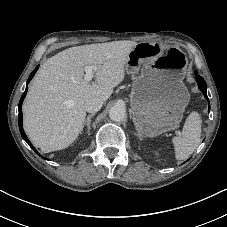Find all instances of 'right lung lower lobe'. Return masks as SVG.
<instances>
[{
  "label": "right lung lower lobe",
  "instance_id": "right-lung-lower-lobe-1",
  "mask_svg": "<svg viewBox=\"0 0 227 227\" xmlns=\"http://www.w3.org/2000/svg\"><path fill=\"white\" fill-rule=\"evenodd\" d=\"M38 67L35 68L32 73L30 74L29 78H28V81L27 82H30V80L33 78L34 74L36 73ZM27 90H28V86H26V90L25 92L22 94V97L20 99V102H19V106H18V109H19V115H18V123H19V129H20V133H21V136L22 138L29 144V146L39 155L41 156L38 151L33 147V145L31 144V142L29 141V139L27 138L24 130H23V126H22V103H23V100H24V97L27 93ZM42 157V156H41ZM44 158V157H42ZM44 159H47V158H44ZM48 160V159H47Z\"/></svg>",
  "mask_w": 227,
  "mask_h": 227
}]
</instances>
